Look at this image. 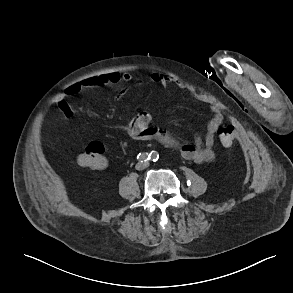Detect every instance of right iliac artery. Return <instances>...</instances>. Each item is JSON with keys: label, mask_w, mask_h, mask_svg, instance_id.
I'll return each instance as SVG.
<instances>
[{"label": "right iliac artery", "mask_w": 293, "mask_h": 293, "mask_svg": "<svg viewBox=\"0 0 293 293\" xmlns=\"http://www.w3.org/2000/svg\"><path fill=\"white\" fill-rule=\"evenodd\" d=\"M137 159L140 161V162H146L150 159V154L149 153H139L137 155Z\"/></svg>", "instance_id": "obj_1"}]
</instances>
